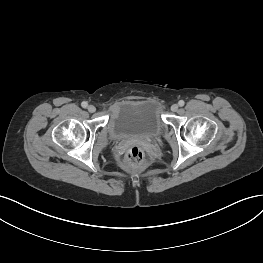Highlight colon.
Listing matches in <instances>:
<instances>
[{
  "label": "colon",
  "mask_w": 263,
  "mask_h": 263,
  "mask_svg": "<svg viewBox=\"0 0 263 263\" xmlns=\"http://www.w3.org/2000/svg\"><path fill=\"white\" fill-rule=\"evenodd\" d=\"M144 159L143 149L138 145H131L125 153L124 164L129 169H137L143 164Z\"/></svg>",
  "instance_id": "obj_1"
}]
</instances>
